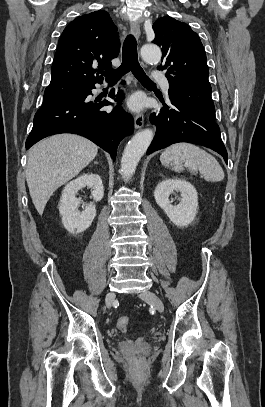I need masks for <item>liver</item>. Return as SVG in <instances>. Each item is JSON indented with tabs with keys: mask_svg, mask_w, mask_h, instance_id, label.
Wrapping results in <instances>:
<instances>
[{
	"mask_svg": "<svg viewBox=\"0 0 265 407\" xmlns=\"http://www.w3.org/2000/svg\"><path fill=\"white\" fill-rule=\"evenodd\" d=\"M97 152V145L75 134L48 137L29 150L26 181L40 215L55 190L77 176Z\"/></svg>",
	"mask_w": 265,
	"mask_h": 407,
	"instance_id": "1",
	"label": "liver"
}]
</instances>
